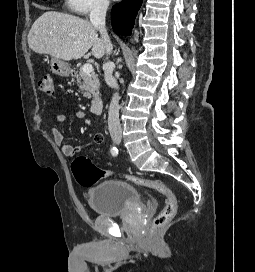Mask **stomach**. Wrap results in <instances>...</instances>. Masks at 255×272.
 <instances>
[{
	"mask_svg": "<svg viewBox=\"0 0 255 272\" xmlns=\"http://www.w3.org/2000/svg\"><path fill=\"white\" fill-rule=\"evenodd\" d=\"M50 70L52 73L60 76L67 77L71 73L70 66L67 62L57 59V58H52L50 62Z\"/></svg>",
	"mask_w": 255,
	"mask_h": 272,
	"instance_id": "stomach-1",
	"label": "stomach"
}]
</instances>
